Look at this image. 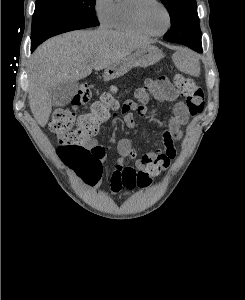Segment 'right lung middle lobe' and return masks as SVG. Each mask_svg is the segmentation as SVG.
I'll return each mask as SVG.
<instances>
[{"label": "right lung middle lobe", "mask_w": 245, "mask_h": 300, "mask_svg": "<svg viewBox=\"0 0 245 300\" xmlns=\"http://www.w3.org/2000/svg\"><path fill=\"white\" fill-rule=\"evenodd\" d=\"M95 0H36L31 45L72 30L98 26Z\"/></svg>", "instance_id": "obj_1"}]
</instances>
